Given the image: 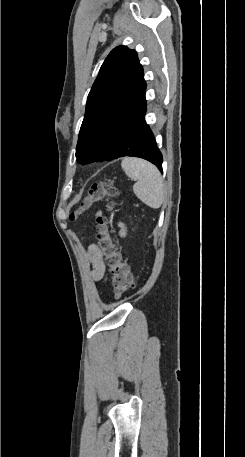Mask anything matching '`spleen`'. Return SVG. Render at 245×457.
<instances>
[{"instance_id": "spleen-1", "label": "spleen", "mask_w": 245, "mask_h": 457, "mask_svg": "<svg viewBox=\"0 0 245 457\" xmlns=\"http://www.w3.org/2000/svg\"><path fill=\"white\" fill-rule=\"evenodd\" d=\"M121 166L127 176L137 180L133 184L136 196L151 208H160L164 198V184L157 166L137 156H125Z\"/></svg>"}]
</instances>
